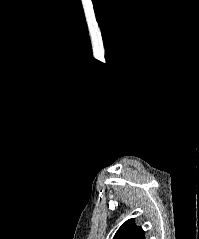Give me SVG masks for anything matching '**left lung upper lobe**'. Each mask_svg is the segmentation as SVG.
<instances>
[{
    "instance_id": "1",
    "label": "left lung upper lobe",
    "mask_w": 199,
    "mask_h": 239,
    "mask_svg": "<svg viewBox=\"0 0 199 239\" xmlns=\"http://www.w3.org/2000/svg\"><path fill=\"white\" fill-rule=\"evenodd\" d=\"M144 230L134 223V219L124 222L116 232L114 239H145Z\"/></svg>"
}]
</instances>
